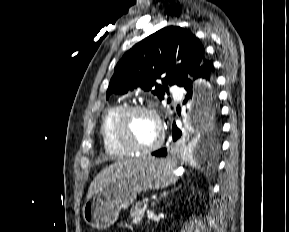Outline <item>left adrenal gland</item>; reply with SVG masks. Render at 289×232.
I'll list each match as a JSON object with an SVG mask.
<instances>
[{
	"mask_svg": "<svg viewBox=\"0 0 289 232\" xmlns=\"http://www.w3.org/2000/svg\"><path fill=\"white\" fill-rule=\"evenodd\" d=\"M180 187H178V188H176L175 190H178ZM174 190H172L171 192H173ZM168 193L169 192H164L162 195H161V197H165V196H167L168 195Z\"/></svg>",
	"mask_w": 289,
	"mask_h": 232,
	"instance_id": "1",
	"label": "left adrenal gland"
}]
</instances>
